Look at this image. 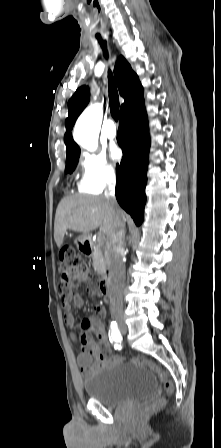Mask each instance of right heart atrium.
I'll return each mask as SVG.
<instances>
[{
	"instance_id": "d8ad5b80",
	"label": "right heart atrium",
	"mask_w": 221,
	"mask_h": 448,
	"mask_svg": "<svg viewBox=\"0 0 221 448\" xmlns=\"http://www.w3.org/2000/svg\"><path fill=\"white\" fill-rule=\"evenodd\" d=\"M82 174L80 189L94 193L113 184L117 178L115 165L101 153H85L80 159Z\"/></svg>"
}]
</instances>
